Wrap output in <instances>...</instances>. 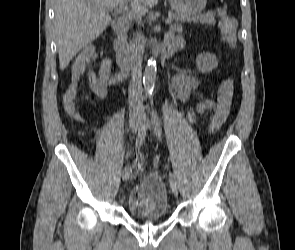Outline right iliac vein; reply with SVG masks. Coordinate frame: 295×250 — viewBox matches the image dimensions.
Wrapping results in <instances>:
<instances>
[{"mask_svg": "<svg viewBox=\"0 0 295 250\" xmlns=\"http://www.w3.org/2000/svg\"><path fill=\"white\" fill-rule=\"evenodd\" d=\"M130 128L133 133L138 131L140 129V119L136 117L132 118L130 121ZM122 177H123V181H128L131 175L130 173L124 172Z\"/></svg>", "mask_w": 295, "mask_h": 250, "instance_id": "right-iliac-vein-1", "label": "right iliac vein"}]
</instances>
